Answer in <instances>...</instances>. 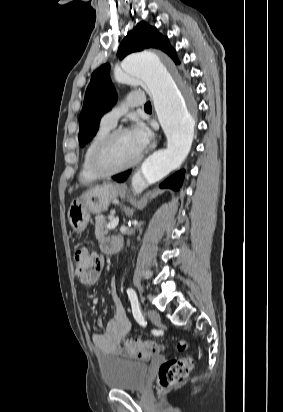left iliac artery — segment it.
Segmentation results:
<instances>
[{"label": "left iliac artery", "mask_w": 283, "mask_h": 412, "mask_svg": "<svg viewBox=\"0 0 283 412\" xmlns=\"http://www.w3.org/2000/svg\"><path fill=\"white\" fill-rule=\"evenodd\" d=\"M127 294L131 303L132 307V313L135 318V320L140 324V325H145V321L143 318V315L140 310V305L138 301V297L136 292L132 288L127 289Z\"/></svg>", "instance_id": "obj_1"}]
</instances>
